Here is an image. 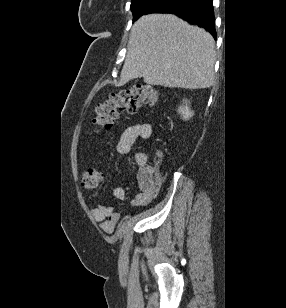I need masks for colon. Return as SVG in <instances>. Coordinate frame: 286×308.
Listing matches in <instances>:
<instances>
[{
  "label": "colon",
  "instance_id": "colon-1",
  "mask_svg": "<svg viewBox=\"0 0 286 308\" xmlns=\"http://www.w3.org/2000/svg\"><path fill=\"white\" fill-rule=\"evenodd\" d=\"M158 99L157 92L148 85H137L112 94L107 101L96 106L98 133H109L120 111L133 113L144 105L155 106ZM148 175L152 180L160 178V173L155 166H151ZM101 180L102 172L98 168H89L81 175L80 187L90 190L97 187Z\"/></svg>",
  "mask_w": 286,
  "mask_h": 308
}]
</instances>
